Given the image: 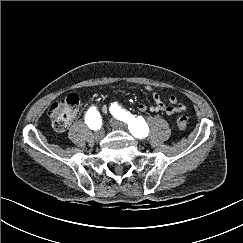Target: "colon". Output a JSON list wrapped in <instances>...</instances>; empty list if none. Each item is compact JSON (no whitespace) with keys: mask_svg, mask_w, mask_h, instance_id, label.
Returning a JSON list of instances; mask_svg holds the SVG:
<instances>
[{"mask_svg":"<svg viewBox=\"0 0 243 243\" xmlns=\"http://www.w3.org/2000/svg\"><path fill=\"white\" fill-rule=\"evenodd\" d=\"M79 107V97L76 94H70L59 102H55L49 109V117L52 127L56 131H64L74 120ZM188 125L186 115H180L177 119V126L184 131Z\"/></svg>","mask_w":243,"mask_h":243,"instance_id":"colon-1","label":"colon"}]
</instances>
